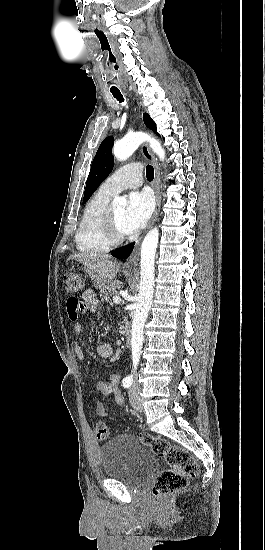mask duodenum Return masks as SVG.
I'll return each instance as SVG.
<instances>
[{
    "label": "duodenum",
    "mask_w": 265,
    "mask_h": 550,
    "mask_svg": "<svg viewBox=\"0 0 265 550\" xmlns=\"http://www.w3.org/2000/svg\"><path fill=\"white\" fill-rule=\"evenodd\" d=\"M124 339H125L126 345L130 346L131 345V330L128 326H126L125 330H124Z\"/></svg>",
    "instance_id": "obj_1"
}]
</instances>
